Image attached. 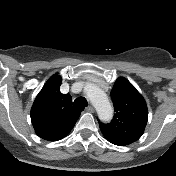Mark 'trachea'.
<instances>
[{
	"label": "trachea",
	"instance_id": "trachea-1",
	"mask_svg": "<svg viewBox=\"0 0 176 176\" xmlns=\"http://www.w3.org/2000/svg\"><path fill=\"white\" fill-rule=\"evenodd\" d=\"M74 105H78V106H87L88 105V102L85 98L83 97H79V98H76L74 100Z\"/></svg>",
	"mask_w": 176,
	"mask_h": 176
}]
</instances>
